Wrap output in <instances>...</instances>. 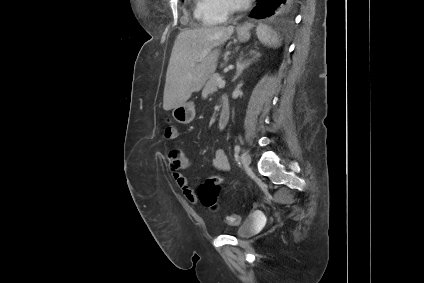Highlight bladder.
Wrapping results in <instances>:
<instances>
[{"instance_id": "obj_1", "label": "bladder", "mask_w": 424, "mask_h": 283, "mask_svg": "<svg viewBox=\"0 0 424 283\" xmlns=\"http://www.w3.org/2000/svg\"><path fill=\"white\" fill-rule=\"evenodd\" d=\"M260 230V223L255 216L247 217L236 231L238 238H249Z\"/></svg>"}]
</instances>
